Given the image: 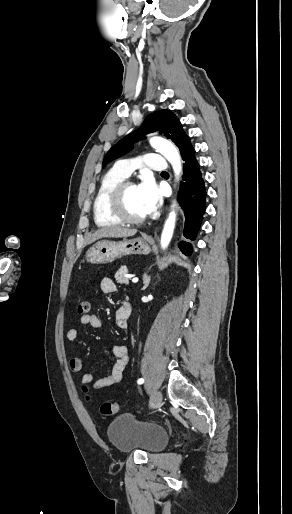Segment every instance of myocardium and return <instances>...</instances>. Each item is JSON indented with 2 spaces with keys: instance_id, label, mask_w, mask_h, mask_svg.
I'll use <instances>...</instances> for the list:
<instances>
[{
  "instance_id": "myocardium-1",
  "label": "myocardium",
  "mask_w": 292,
  "mask_h": 514,
  "mask_svg": "<svg viewBox=\"0 0 292 514\" xmlns=\"http://www.w3.org/2000/svg\"><path fill=\"white\" fill-rule=\"evenodd\" d=\"M129 187H136V185L132 181L124 180L110 189L106 196V209L107 212L118 222L127 224H140L146 220L148 215L147 213L139 217H131L124 212L122 207L123 193Z\"/></svg>"
}]
</instances>
